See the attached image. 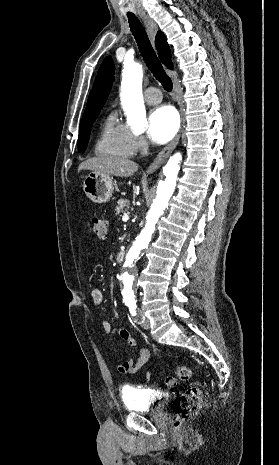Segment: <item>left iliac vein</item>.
Masks as SVG:
<instances>
[{"instance_id":"left-iliac-vein-1","label":"left iliac vein","mask_w":279,"mask_h":465,"mask_svg":"<svg viewBox=\"0 0 279 465\" xmlns=\"http://www.w3.org/2000/svg\"><path fill=\"white\" fill-rule=\"evenodd\" d=\"M141 326L144 328V329H149L150 328V321L148 318H146L145 316L142 317L141 319Z\"/></svg>"}]
</instances>
